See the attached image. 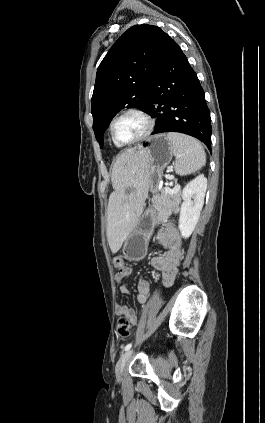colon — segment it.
<instances>
[{
	"instance_id": "obj_1",
	"label": "colon",
	"mask_w": 265,
	"mask_h": 423,
	"mask_svg": "<svg viewBox=\"0 0 265 423\" xmlns=\"http://www.w3.org/2000/svg\"><path fill=\"white\" fill-rule=\"evenodd\" d=\"M113 266L117 271H120L124 266L123 258L119 256L115 257L113 259ZM116 331L120 338H128L131 335V326L126 317L121 316L118 318Z\"/></svg>"
}]
</instances>
